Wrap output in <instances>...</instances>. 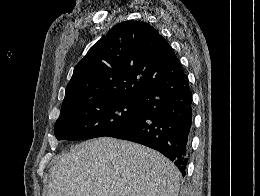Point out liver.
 Listing matches in <instances>:
<instances>
[{
	"label": "liver",
	"instance_id": "1",
	"mask_svg": "<svg viewBox=\"0 0 260 196\" xmlns=\"http://www.w3.org/2000/svg\"><path fill=\"white\" fill-rule=\"evenodd\" d=\"M179 176L156 150L98 138L61 156L50 170L46 196H178Z\"/></svg>",
	"mask_w": 260,
	"mask_h": 196
}]
</instances>
